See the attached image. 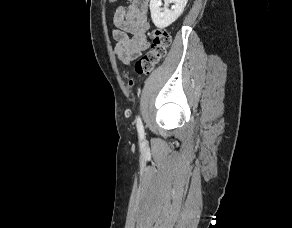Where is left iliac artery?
Here are the masks:
<instances>
[{"label": "left iliac artery", "mask_w": 292, "mask_h": 228, "mask_svg": "<svg viewBox=\"0 0 292 228\" xmlns=\"http://www.w3.org/2000/svg\"><path fill=\"white\" fill-rule=\"evenodd\" d=\"M136 126H137V130L139 135L142 137L144 136V128H143V124H142V120L140 118V116H137L136 118Z\"/></svg>", "instance_id": "1"}]
</instances>
